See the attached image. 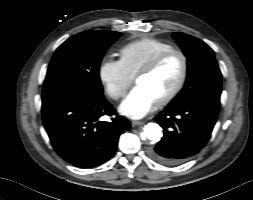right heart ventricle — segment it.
Returning <instances> with one entry per match:
<instances>
[{
	"label": "right heart ventricle",
	"instance_id": "right-heart-ventricle-1",
	"mask_svg": "<svg viewBox=\"0 0 253 200\" xmlns=\"http://www.w3.org/2000/svg\"><path fill=\"white\" fill-rule=\"evenodd\" d=\"M173 46L154 38H142L124 45L119 50V61L131 77L158 55L173 50Z\"/></svg>",
	"mask_w": 253,
	"mask_h": 200
}]
</instances>
